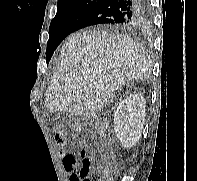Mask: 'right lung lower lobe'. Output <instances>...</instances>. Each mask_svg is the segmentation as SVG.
<instances>
[{"instance_id": "right-lung-lower-lobe-1", "label": "right lung lower lobe", "mask_w": 197, "mask_h": 181, "mask_svg": "<svg viewBox=\"0 0 197 181\" xmlns=\"http://www.w3.org/2000/svg\"><path fill=\"white\" fill-rule=\"evenodd\" d=\"M148 0H102L91 7L72 32L93 25H111L120 29L145 22Z\"/></svg>"}]
</instances>
